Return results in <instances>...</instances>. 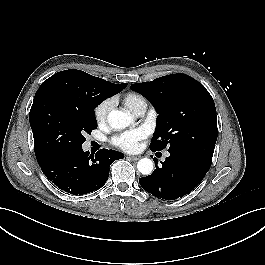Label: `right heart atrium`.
<instances>
[{"label":"right heart atrium","mask_w":265,"mask_h":265,"mask_svg":"<svg viewBox=\"0 0 265 265\" xmlns=\"http://www.w3.org/2000/svg\"><path fill=\"white\" fill-rule=\"evenodd\" d=\"M112 106V99H105L94 108V117L97 123L102 124L107 121Z\"/></svg>","instance_id":"1"}]
</instances>
